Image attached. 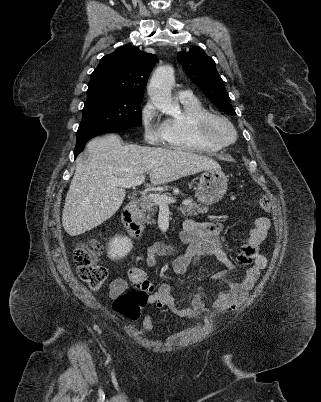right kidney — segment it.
I'll return each instance as SVG.
<instances>
[{"label":"right kidney","instance_id":"1","mask_svg":"<svg viewBox=\"0 0 321 402\" xmlns=\"http://www.w3.org/2000/svg\"><path fill=\"white\" fill-rule=\"evenodd\" d=\"M133 245L128 237L115 236L109 242L108 256L111 259H119L127 256Z\"/></svg>","mask_w":321,"mask_h":402}]
</instances>
